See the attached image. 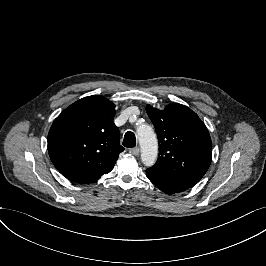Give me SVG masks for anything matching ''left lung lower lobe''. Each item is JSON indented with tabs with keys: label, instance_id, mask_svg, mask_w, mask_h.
I'll return each instance as SVG.
<instances>
[{
	"label": "left lung lower lobe",
	"instance_id": "0a47b994",
	"mask_svg": "<svg viewBox=\"0 0 266 266\" xmlns=\"http://www.w3.org/2000/svg\"><path fill=\"white\" fill-rule=\"evenodd\" d=\"M146 175L157 188H159L161 191H163L166 194H174L182 192L189 188L183 184L176 183L148 170L146 171Z\"/></svg>",
	"mask_w": 266,
	"mask_h": 266
}]
</instances>
